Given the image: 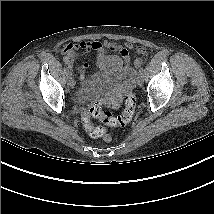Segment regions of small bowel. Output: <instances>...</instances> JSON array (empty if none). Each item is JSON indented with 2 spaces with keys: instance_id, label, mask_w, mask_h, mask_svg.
<instances>
[{
  "instance_id": "c3829d8e",
  "label": "small bowel",
  "mask_w": 214,
  "mask_h": 214,
  "mask_svg": "<svg viewBox=\"0 0 214 214\" xmlns=\"http://www.w3.org/2000/svg\"><path fill=\"white\" fill-rule=\"evenodd\" d=\"M125 48L133 49L134 45L127 43ZM125 48L111 41H81L71 44L68 49L71 56H74L78 50L95 51L97 53V65L101 72H108L110 70L122 72V61L126 65L129 64L130 61ZM107 51H119L121 58L117 55H108ZM88 66V63H83L78 67L80 75L84 74ZM128 88L125 87L126 90L124 91H128Z\"/></svg>"
}]
</instances>
